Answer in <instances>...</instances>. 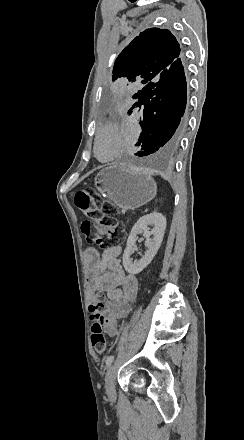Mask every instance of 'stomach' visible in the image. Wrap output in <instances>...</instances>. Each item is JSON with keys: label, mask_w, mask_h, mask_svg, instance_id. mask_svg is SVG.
I'll use <instances>...</instances> for the list:
<instances>
[{"label": "stomach", "mask_w": 244, "mask_h": 440, "mask_svg": "<svg viewBox=\"0 0 244 440\" xmlns=\"http://www.w3.org/2000/svg\"><path fill=\"white\" fill-rule=\"evenodd\" d=\"M95 188L118 208L135 210L151 202L157 194L155 180L144 170H129L122 166L103 168L95 176Z\"/></svg>", "instance_id": "stomach-1"}]
</instances>
